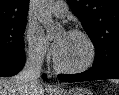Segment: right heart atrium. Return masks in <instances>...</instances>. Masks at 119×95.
<instances>
[{
  "instance_id": "obj_1",
  "label": "right heart atrium",
  "mask_w": 119,
  "mask_h": 95,
  "mask_svg": "<svg viewBox=\"0 0 119 95\" xmlns=\"http://www.w3.org/2000/svg\"><path fill=\"white\" fill-rule=\"evenodd\" d=\"M25 40L29 59L35 64L44 63L48 59L49 53L39 30L35 26L27 27Z\"/></svg>"
}]
</instances>
